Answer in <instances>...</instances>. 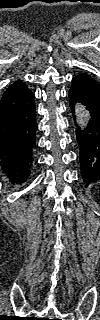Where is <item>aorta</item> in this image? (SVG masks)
<instances>
[{
  "label": "aorta",
  "instance_id": "1",
  "mask_svg": "<svg viewBox=\"0 0 100 320\" xmlns=\"http://www.w3.org/2000/svg\"><path fill=\"white\" fill-rule=\"evenodd\" d=\"M74 111L78 125L82 128L85 127L90 119V115L86 107L80 103H77Z\"/></svg>",
  "mask_w": 100,
  "mask_h": 320
}]
</instances>
